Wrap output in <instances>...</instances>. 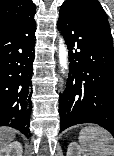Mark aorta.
Listing matches in <instances>:
<instances>
[{"label":"aorta","mask_w":114,"mask_h":156,"mask_svg":"<svg viewBox=\"0 0 114 156\" xmlns=\"http://www.w3.org/2000/svg\"><path fill=\"white\" fill-rule=\"evenodd\" d=\"M58 48H59V63L62 68V72L64 73V70L68 69V50L66 48L63 39L59 40Z\"/></svg>","instance_id":"obj_1"}]
</instances>
